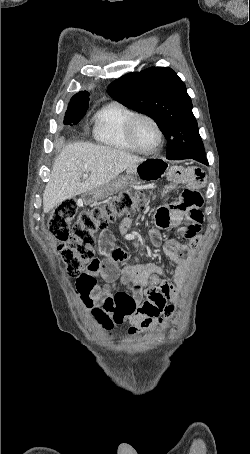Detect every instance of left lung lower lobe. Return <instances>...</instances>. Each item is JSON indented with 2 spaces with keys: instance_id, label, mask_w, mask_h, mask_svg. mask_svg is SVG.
I'll return each mask as SVG.
<instances>
[{
  "instance_id": "obj_1",
  "label": "left lung lower lobe",
  "mask_w": 250,
  "mask_h": 454,
  "mask_svg": "<svg viewBox=\"0 0 250 454\" xmlns=\"http://www.w3.org/2000/svg\"><path fill=\"white\" fill-rule=\"evenodd\" d=\"M188 158H191V159H194L196 161H199L205 165H208V161L205 157V153L204 154H194V155H183V156H174V157H171L169 158L170 160H180V159H188Z\"/></svg>"
}]
</instances>
